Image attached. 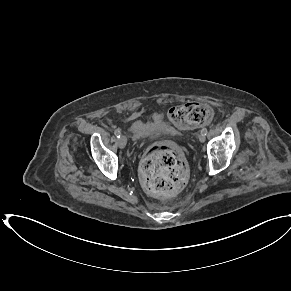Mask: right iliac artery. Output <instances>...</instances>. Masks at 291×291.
I'll return each instance as SVG.
<instances>
[{"instance_id": "82829eb1", "label": "right iliac artery", "mask_w": 291, "mask_h": 291, "mask_svg": "<svg viewBox=\"0 0 291 291\" xmlns=\"http://www.w3.org/2000/svg\"><path fill=\"white\" fill-rule=\"evenodd\" d=\"M114 134H115V136H116L117 138H120V136H121V131H120V129H116L115 132H114Z\"/></svg>"}]
</instances>
